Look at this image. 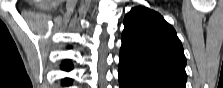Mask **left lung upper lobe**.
Masks as SVG:
<instances>
[{"instance_id":"5c2ea615","label":"left lung upper lobe","mask_w":223,"mask_h":88,"mask_svg":"<svg viewBox=\"0 0 223 88\" xmlns=\"http://www.w3.org/2000/svg\"><path fill=\"white\" fill-rule=\"evenodd\" d=\"M119 65L146 78L185 88L182 44L174 28L146 7H134L124 18Z\"/></svg>"}]
</instances>
